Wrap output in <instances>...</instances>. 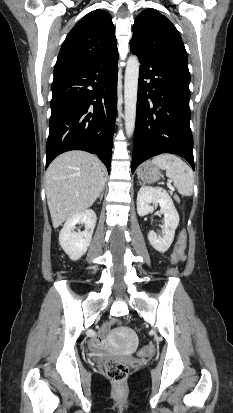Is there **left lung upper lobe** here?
Wrapping results in <instances>:
<instances>
[{
  "instance_id": "1",
  "label": "left lung upper lobe",
  "mask_w": 233,
  "mask_h": 413,
  "mask_svg": "<svg viewBox=\"0 0 233 413\" xmlns=\"http://www.w3.org/2000/svg\"><path fill=\"white\" fill-rule=\"evenodd\" d=\"M130 47L190 76L187 52L181 36L174 25L158 11L146 9L135 19Z\"/></svg>"
}]
</instances>
